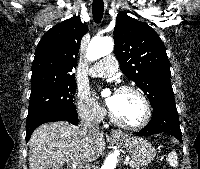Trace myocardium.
<instances>
[{"instance_id": "obj_1", "label": "myocardium", "mask_w": 200, "mask_h": 169, "mask_svg": "<svg viewBox=\"0 0 200 169\" xmlns=\"http://www.w3.org/2000/svg\"><path fill=\"white\" fill-rule=\"evenodd\" d=\"M117 91H131V92L136 93L144 103L145 116H144V119L139 124L131 125V124H127V123L119 120L116 117V115L114 114V112L111 110V108L109 107L110 120L117 126L127 129V130L137 131V130H140V129H143L144 127H146L152 118L151 103H150L148 97L146 96V94L140 88H138L137 86H134V85H122V86L118 87Z\"/></svg>"}]
</instances>
